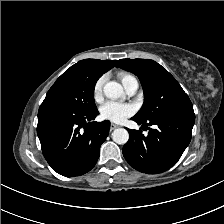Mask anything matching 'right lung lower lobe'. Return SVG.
<instances>
[{"mask_svg":"<svg viewBox=\"0 0 224 224\" xmlns=\"http://www.w3.org/2000/svg\"><path fill=\"white\" fill-rule=\"evenodd\" d=\"M98 114V110L86 113L43 101L37 134L45 159L58 174L74 177L94 167L110 129L108 120L91 122Z\"/></svg>","mask_w":224,"mask_h":224,"instance_id":"right-lung-lower-lobe-1","label":"right lung lower lobe"}]
</instances>
